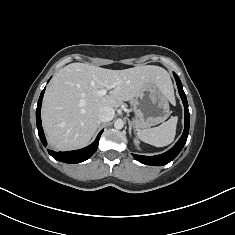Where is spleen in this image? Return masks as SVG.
Segmentation results:
<instances>
[{"label":"spleen","instance_id":"1","mask_svg":"<svg viewBox=\"0 0 235 235\" xmlns=\"http://www.w3.org/2000/svg\"><path fill=\"white\" fill-rule=\"evenodd\" d=\"M177 121V117H171L160 126L141 130L137 133V135L143 142L155 147L167 146L174 141Z\"/></svg>","mask_w":235,"mask_h":235}]
</instances>
